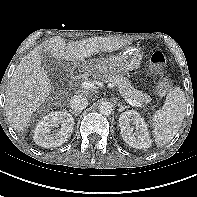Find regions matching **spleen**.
<instances>
[{"mask_svg":"<svg viewBox=\"0 0 197 197\" xmlns=\"http://www.w3.org/2000/svg\"><path fill=\"white\" fill-rule=\"evenodd\" d=\"M186 97L180 87L172 88L161 109L152 117L155 143L158 147L167 144L178 132L185 116Z\"/></svg>","mask_w":197,"mask_h":197,"instance_id":"spleen-1","label":"spleen"}]
</instances>
